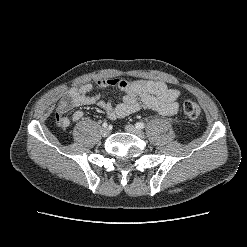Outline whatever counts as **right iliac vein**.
<instances>
[{"mask_svg":"<svg viewBox=\"0 0 247 247\" xmlns=\"http://www.w3.org/2000/svg\"><path fill=\"white\" fill-rule=\"evenodd\" d=\"M101 134H102L103 137L108 136V134H109V129H108L107 127L102 128V129H101Z\"/></svg>","mask_w":247,"mask_h":247,"instance_id":"63e3f726","label":"right iliac vein"}]
</instances>
